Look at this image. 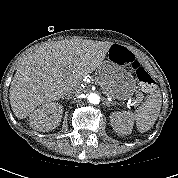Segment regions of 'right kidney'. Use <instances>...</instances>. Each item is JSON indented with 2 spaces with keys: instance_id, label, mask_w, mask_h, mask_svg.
Here are the masks:
<instances>
[{
  "instance_id": "ca27d5eb",
  "label": "right kidney",
  "mask_w": 178,
  "mask_h": 178,
  "mask_svg": "<svg viewBox=\"0 0 178 178\" xmlns=\"http://www.w3.org/2000/svg\"><path fill=\"white\" fill-rule=\"evenodd\" d=\"M62 114V105L53 102L46 103L30 115V126L42 132L53 130L61 122Z\"/></svg>"
}]
</instances>
